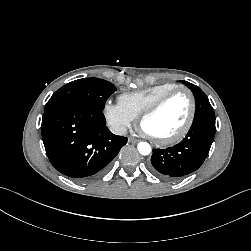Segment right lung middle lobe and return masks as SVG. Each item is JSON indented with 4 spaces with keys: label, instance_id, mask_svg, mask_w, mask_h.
Instances as JSON below:
<instances>
[{
    "label": "right lung middle lobe",
    "instance_id": "right-lung-middle-lobe-1",
    "mask_svg": "<svg viewBox=\"0 0 251 251\" xmlns=\"http://www.w3.org/2000/svg\"><path fill=\"white\" fill-rule=\"evenodd\" d=\"M115 91V86L103 79H78L57 90L47 102L44 110L60 105L89 106L103 110L108 97Z\"/></svg>",
    "mask_w": 251,
    "mask_h": 251
}]
</instances>
